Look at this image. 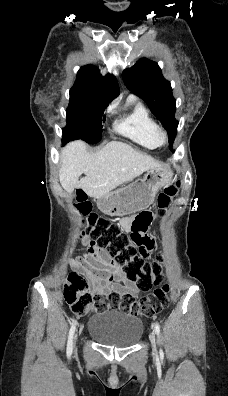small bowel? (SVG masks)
<instances>
[{
    "instance_id": "c3829d8e",
    "label": "small bowel",
    "mask_w": 228,
    "mask_h": 396,
    "mask_svg": "<svg viewBox=\"0 0 228 396\" xmlns=\"http://www.w3.org/2000/svg\"><path fill=\"white\" fill-rule=\"evenodd\" d=\"M130 222V219H123L121 228L129 232ZM85 244L87 252L83 256L72 258L69 263L74 270L86 276L93 294H136L139 291L137 285L127 279L122 268L107 257L94 241L89 240Z\"/></svg>"
}]
</instances>
